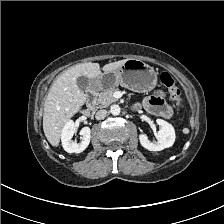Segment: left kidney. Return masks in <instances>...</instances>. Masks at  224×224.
<instances>
[{"mask_svg":"<svg viewBox=\"0 0 224 224\" xmlns=\"http://www.w3.org/2000/svg\"><path fill=\"white\" fill-rule=\"evenodd\" d=\"M156 122L160 127L157 133V142H150L145 134L139 135L141 145L149 151H161L165 148L171 147L175 142L174 127L162 119H157Z\"/></svg>","mask_w":224,"mask_h":224,"instance_id":"1","label":"left kidney"}]
</instances>
